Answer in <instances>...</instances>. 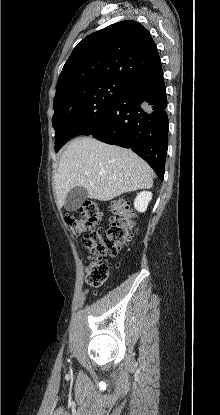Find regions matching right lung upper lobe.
Returning <instances> with one entry per match:
<instances>
[{
    "instance_id": "cb5924a9",
    "label": "right lung upper lobe",
    "mask_w": 220,
    "mask_h": 415,
    "mask_svg": "<svg viewBox=\"0 0 220 415\" xmlns=\"http://www.w3.org/2000/svg\"><path fill=\"white\" fill-rule=\"evenodd\" d=\"M162 70L149 31L132 20L112 24L85 37L72 51L59 76L56 94L90 81L134 83Z\"/></svg>"
}]
</instances>
